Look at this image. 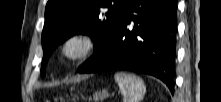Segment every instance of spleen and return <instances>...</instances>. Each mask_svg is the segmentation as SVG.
Returning a JSON list of instances; mask_svg holds the SVG:
<instances>
[{"instance_id": "obj_1", "label": "spleen", "mask_w": 221, "mask_h": 102, "mask_svg": "<svg viewBox=\"0 0 221 102\" xmlns=\"http://www.w3.org/2000/svg\"><path fill=\"white\" fill-rule=\"evenodd\" d=\"M114 78L124 97V102H140L143 99L146 87L140 77L131 73L117 72Z\"/></svg>"}]
</instances>
